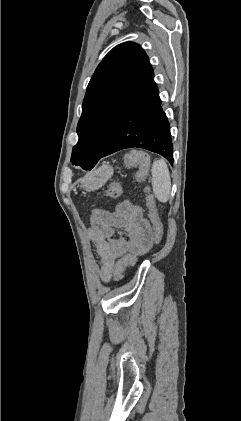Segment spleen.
<instances>
[{
  "label": "spleen",
  "mask_w": 241,
  "mask_h": 421,
  "mask_svg": "<svg viewBox=\"0 0 241 421\" xmlns=\"http://www.w3.org/2000/svg\"><path fill=\"white\" fill-rule=\"evenodd\" d=\"M152 188L158 201L165 203L170 197L171 178L166 162L155 160L152 165Z\"/></svg>",
  "instance_id": "spleen-1"
}]
</instances>
